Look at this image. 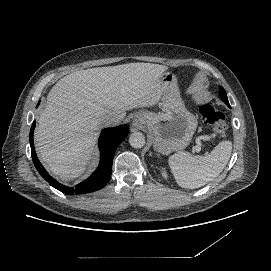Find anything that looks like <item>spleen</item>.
<instances>
[{"label": "spleen", "instance_id": "3e777b00", "mask_svg": "<svg viewBox=\"0 0 271 271\" xmlns=\"http://www.w3.org/2000/svg\"><path fill=\"white\" fill-rule=\"evenodd\" d=\"M231 151L232 143L222 141L209 154L194 156L179 151L169 157L168 163L180 187L195 189L204 186L223 171Z\"/></svg>", "mask_w": 271, "mask_h": 271}]
</instances>
